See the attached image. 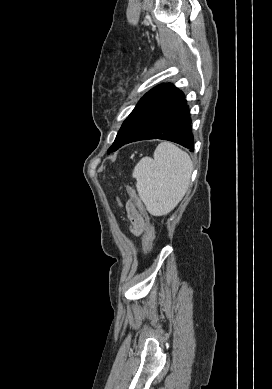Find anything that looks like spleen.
<instances>
[{"label": "spleen", "instance_id": "obj_1", "mask_svg": "<svg viewBox=\"0 0 272 389\" xmlns=\"http://www.w3.org/2000/svg\"><path fill=\"white\" fill-rule=\"evenodd\" d=\"M192 173L187 153L169 142L160 143L154 159L142 158L134 167L138 194L150 214L162 216L171 212L185 195Z\"/></svg>", "mask_w": 272, "mask_h": 389}]
</instances>
